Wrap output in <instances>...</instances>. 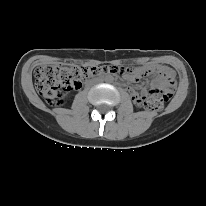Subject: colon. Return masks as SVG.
Listing matches in <instances>:
<instances>
[{"label": "colon", "instance_id": "1", "mask_svg": "<svg viewBox=\"0 0 206 206\" xmlns=\"http://www.w3.org/2000/svg\"><path fill=\"white\" fill-rule=\"evenodd\" d=\"M111 73H128L135 75L136 70L122 69L120 67H112L108 70ZM96 73L94 68L87 69H65L56 65L45 66L37 72V88L43 97L48 101H54L58 98L60 90L78 89L82 85V81ZM174 85L173 79H168L165 83L166 87H161L150 92L146 97H133L134 101L145 108L160 109L163 102L170 97L169 89Z\"/></svg>", "mask_w": 206, "mask_h": 206}]
</instances>
